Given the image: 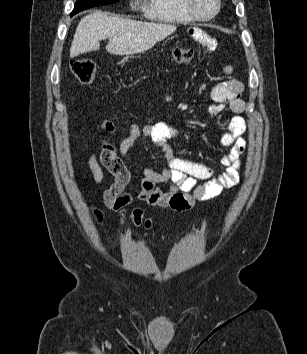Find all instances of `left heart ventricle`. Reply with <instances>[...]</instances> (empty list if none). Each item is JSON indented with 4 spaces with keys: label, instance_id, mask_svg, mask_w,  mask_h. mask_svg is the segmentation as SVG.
Here are the masks:
<instances>
[{
    "label": "left heart ventricle",
    "instance_id": "1",
    "mask_svg": "<svg viewBox=\"0 0 307 354\" xmlns=\"http://www.w3.org/2000/svg\"><path fill=\"white\" fill-rule=\"evenodd\" d=\"M195 10L201 15H209L215 9V0H193Z\"/></svg>",
    "mask_w": 307,
    "mask_h": 354
}]
</instances>
